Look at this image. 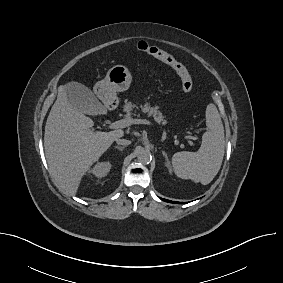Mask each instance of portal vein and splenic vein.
<instances>
[{
  "instance_id": "1",
  "label": "portal vein and splenic vein",
  "mask_w": 283,
  "mask_h": 283,
  "mask_svg": "<svg viewBox=\"0 0 283 283\" xmlns=\"http://www.w3.org/2000/svg\"><path fill=\"white\" fill-rule=\"evenodd\" d=\"M132 124H145L150 125L151 122L146 119H133V118H127V119H121L118 121H115L110 124V128L118 129V128H126L128 126H131ZM188 143L190 146L193 145V142L188 140Z\"/></svg>"
}]
</instances>
